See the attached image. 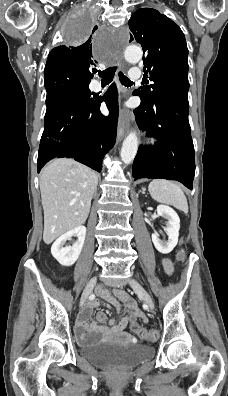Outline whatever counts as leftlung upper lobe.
<instances>
[{"mask_svg": "<svg viewBox=\"0 0 228 396\" xmlns=\"http://www.w3.org/2000/svg\"><path fill=\"white\" fill-rule=\"evenodd\" d=\"M130 42L144 51V72L154 83L138 92L147 104L164 92H188V48L180 27L152 8L138 9L129 20Z\"/></svg>", "mask_w": 228, "mask_h": 396, "instance_id": "1", "label": "left lung upper lobe"}]
</instances>
